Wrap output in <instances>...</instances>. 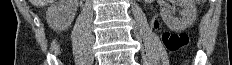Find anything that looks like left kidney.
<instances>
[{"instance_id":"obj_1","label":"left kidney","mask_w":232,"mask_h":65,"mask_svg":"<svg viewBox=\"0 0 232 65\" xmlns=\"http://www.w3.org/2000/svg\"><path fill=\"white\" fill-rule=\"evenodd\" d=\"M182 11L180 17L173 16L164 4L160 5V15L165 24L173 31H184L196 19L197 9L194 0H179Z\"/></svg>"}]
</instances>
